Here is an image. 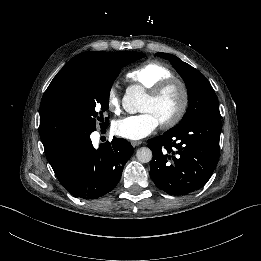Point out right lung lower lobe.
Segmentation results:
<instances>
[{
  "instance_id": "right-lung-lower-lobe-1",
  "label": "right lung lower lobe",
  "mask_w": 261,
  "mask_h": 261,
  "mask_svg": "<svg viewBox=\"0 0 261 261\" xmlns=\"http://www.w3.org/2000/svg\"><path fill=\"white\" fill-rule=\"evenodd\" d=\"M45 153L59 182L70 194L95 199L117 185L133 147L127 140L114 137L96 150L90 134L82 133L59 140Z\"/></svg>"
}]
</instances>
